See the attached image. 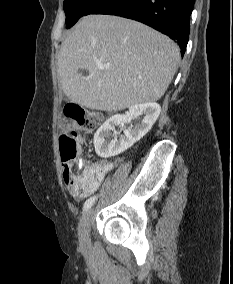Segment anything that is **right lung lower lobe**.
Segmentation results:
<instances>
[{"mask_svg":"<svg viewBox=\"0 0 233 284\" xmlns=\"http://www.w3.org/2000/svg\"><path fill=\"white\" fill-rule=\"evenodd\" d=\"M195 0H107L91 14L117 15L140 21L176 40L185 53Z\"/></svg>","mask_w":233,"mask_h":284,"instance_id":"obj_1","label":"right lung lower lobe"}]
</instances>
